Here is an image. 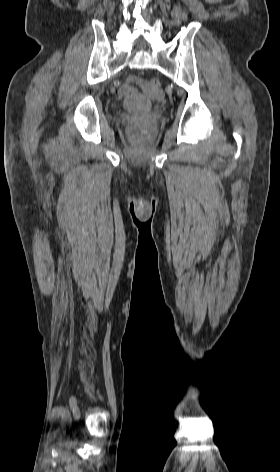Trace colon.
<instances>
[{
    "mask_svg": "<svg viewBox=\"0 0 280 472\" xmlns=\"http://www.w3.org/2000/svg\"><path fill=\"white\" fill-rule=\"evenodd\" d=\"M147 87L152 92H158L159 91V82L155 79L149 80L147 82Z\"/></svg>",
    "mask_w": 280,
    "mask_h": 472,
    "instance_id": "1",
    "label": "colon"
}]
</instances>
